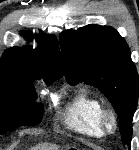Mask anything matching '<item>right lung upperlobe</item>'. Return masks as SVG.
<instances>
[{
	"label": "right lung upper lobe",
	"mask_w": 139,
	"mask_h": 150,
	"mask_svg": "<svg viewBox=\"0 0 139 150\" xmlns=\"http://www.w3.org/2000/svg\"><path fill=\"white\" fill-rule=\"evenodd\" d=\"M31 41L35 38L38 47L11 48L1 59V72L21 74L33 79L41 76L44 81L54 82L63 75V67L59 47L54 35H33L22 32Z\"/></svg>",
	"instance_id": "1"
}]
</instances>
